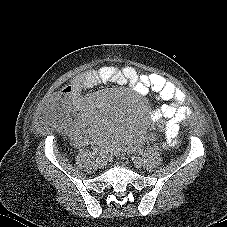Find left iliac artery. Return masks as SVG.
Segmentation results:
<instances>
[{
	"label": "left iliac artery",
	"instance_id": "obj_1",
	"mask_svg": "<svg viewBox=\"0 0 227 227\" xmlns=\"http://www.w3.org/2000/svg\"><path fill=\"white\" fill-rule=\"evenodd\" d=\"M140 154H143V151H140Z\"/></svg>",
	"mask_w": 227,
	"mask_h": 227
}]
</instances>
